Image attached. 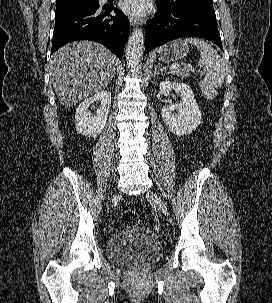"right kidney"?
<instances>
[{"mask_svg": "<svg viewBox=\"0 0 272 303\" xmlns=\"http://www.w3.org/2000/svg\"><path fill=\"white\" fill-rule=\"evenodd\" d=\"M100 101V107L95 115H91L89 106ZM111 106V92L104 90L86 98L79 104L75 113L76 131L88 137H96L105 127Z\"/></svg>", "mask_w": 272, "mask_h": 303, "instance_id": "ca27d5eb", "label": "right kidney"}]
</instances>
